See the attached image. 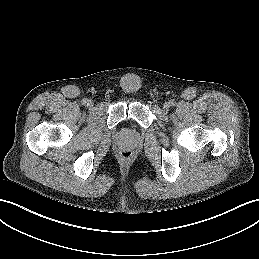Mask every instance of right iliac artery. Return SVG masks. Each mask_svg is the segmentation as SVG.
Segmentation results:
<instances>
[{"label": "right iliac artery", "mask_w": 259, "mask_h": 259, "mask_svg": "<svg viewBox=\"0 0 259 259\" xmlns=\"http://www.w3.org/2000/svg\"><path fill=\"white\" fill-rule=\"evenodd\" d=\"M87 102H88V99H86V98H84V99L82 100V104H83V105H86Z\"/></svg>", "instance_id": "1"}]
</instances>
